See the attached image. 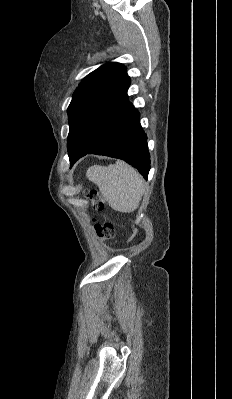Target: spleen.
<instances>
[{"label":"spleen","instance_id":"spleen-1","mask_svg":"<svg viewBox=\"0 0 232 399\" xmlns=\"http://www.w3.org/2000/svg\"><path fill=\"white\" fill-rule=\"evenodd\" d=\"M90 182L98 186L102 196L116 211H134L144 194L143 178L135 168L122 160L114 166H91L86 172Z\"/></svg>","mask_w":232,"mask_h":399}]
</instances>
